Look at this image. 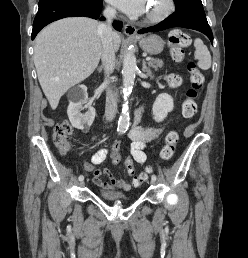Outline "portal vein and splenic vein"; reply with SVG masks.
Instances as JSON below:
<instances>
[{
	"label": "portal vein and splenic vein",
	"instance_id": "portal-vein-and-splenic-vein-1",
	"mask_svg": "<svg viewBox=\"0 0 248 258\" xmlns=\"http://www.w3.org/2000/svg\"><path fill=\"white\" fill-rule=\"evenodd\" d=\"M151 60V58L150 57H146V61H150Z\"/></svg>",
	"mask_w": 248,
	"mask_h": 258
}]
</instances>
